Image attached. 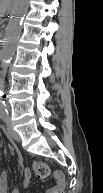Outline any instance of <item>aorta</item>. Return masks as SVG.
Listing matches in <instances>:
<instances>
[{
  "instance_id": "obj_1",
  "label": "aorta",
  "mask_w": 103,
  "mask_h": 193,
  "mask_svg": "<svg viewBox=\"0 0 103 193\" xmlns=\"http://www.w3.org/2000/svg\"><path fill=\"white\" fill-rule=\"evenodd\" d=\"M29 9V0H17L14 7L13 16L8 22L6 27L4 38L2 41L1 51V65L2 76L4 77L7 72L8 65L12 59V56L16 50V44L21 35L22 25Z\"/></svg>"
}]
</instances>
